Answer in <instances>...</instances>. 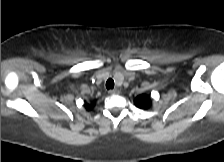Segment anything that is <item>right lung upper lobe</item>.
<instances>
[{
    "label": "right lung upper lobe",
    "instance_id": "right-lung-upper-lobe-1",
    "mask_svg": "<svg viewBox=\"0 0 224 162\" xmlns=\"http://www.w3.org/2000/svg\"><path fill=\"white\" fill-rule=\"evenodd\" d=\"M85 106H86V109L87 110H91L92 107H93V103L92 104H86Z\"/></svg>",
    "mask_w": 224,
    "mask_h": 162
}]
</instances>
